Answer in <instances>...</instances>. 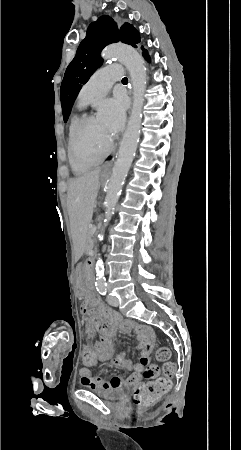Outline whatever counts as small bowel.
Listing matches in <instances>:
<instances>
[{
  "label": "small bowel",
  "mask_w": 241,
  "mask_h": 450,
  "mask_svg": "<svg viewBox=\"0 0 241 450\" xmlns=\"http://www.w3.org/2000/svg\"><path fill=\"white\" fill-rule=\"evenodd\" d=\"M82 303L80 309L83 311V316L87 318L91 314L88 309L89 307H93L95 302L93 298H84ZM89 322L93 323L94 319L90 318ZM93 331L94 333H101L100 340L91 344L92 347L98 349V354L96 355L97 362H108L111 360L114 335L118 331L134 333L136 335L138 348L140 350V358L137 364H133L132 361L126 357L125 353H121L112 361L114 364L121 365L131 371V374L126 378L113 376L108 381L94 380L91 377L90 370L82 368L80 374L83 385L93 390L119 389L125 386L138 385L143 379L144 370L150 363L153 346L156 340L152 327L146 324H139L133 320H123L118 323L116 328L112 329H108L107 324H88V341L93 337Z\"/></svg>",
  "instance_id": "c3829d8e"
}]
</instances>
